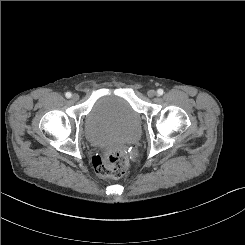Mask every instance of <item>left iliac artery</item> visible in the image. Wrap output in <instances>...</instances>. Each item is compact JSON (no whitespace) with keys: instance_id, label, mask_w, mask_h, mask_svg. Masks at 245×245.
<instances>
[{"instance_id":"44dca946","label":"left iliac artery","mask_w":245,"mask_h":245,"mask_svg":"<svg viewBox=\"0 0 245 245\" xmlns=\"http://www.w3.org/2000/svg\"><path fill=\"white\" fill-rule=\"evenodd\" d=\"M163 93H164L163 89H158V90H157V94H158L159 96L163 95Z\"/></svg>"}]
</instances>
